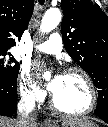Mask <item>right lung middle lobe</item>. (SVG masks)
<instances>
[{
	"label": "right lung middle lobe",
	"mask_w": 108,
	"mask_h": 127,
	"mask_svg": "<svg viewBox=\"0 0 108 127\" xmlns=\"http://www.w3.org/2000/svg\"><path fill=\"white\" fill-rule=\"evenodd\" d=\"M11 55L8 51H0V78L7 81H17L19 64L14 57L6 58Z\"/></svg>",
	"instance_id": "obj_1"
}]
</instances>
